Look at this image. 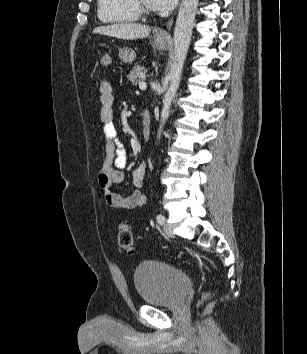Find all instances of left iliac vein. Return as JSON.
<instances>
[{"label": "left iliac vein", "instance_id": "left-iliac-vein-1", "mask_svg": "<svg viewBox=\"0 0 307 354\" xmlns=\"http://www.w3.org/2000/svg\"><path fill=\"white\" fill-rule=\"evenodd\" d=\"M163 230L168 237H174L173 231L167 222H164Z\"/></svg>", "mask_w": 307, "mask_h": 354}]
</instances>
